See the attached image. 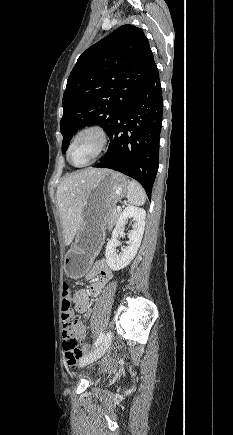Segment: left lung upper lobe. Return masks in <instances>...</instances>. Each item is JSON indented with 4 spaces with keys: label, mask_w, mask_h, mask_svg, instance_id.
<instances>
[{
    "label": "left lung upper lobe",
    "mask_w": 233,
    "mask_h": 435,
    "mask_svg": "<svg viewBox=\"0 0 233 435\" xmlns=\"http://www.w3.org/2000/svg\"><path fill=\"white\" fill-rule=\"evenodd\" d=\"M155 68L147 37L133 25L119 27L82 53L63 95L62 152L82 127L97 124L108 134Z\"/></svg>",
    "instance_id": "obj_1"
}]
</instances>
